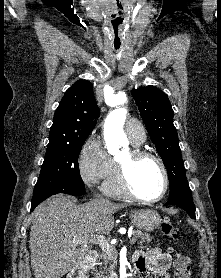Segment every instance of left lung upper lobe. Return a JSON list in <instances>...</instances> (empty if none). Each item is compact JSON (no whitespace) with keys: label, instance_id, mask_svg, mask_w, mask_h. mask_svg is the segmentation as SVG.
I'll return each instance as SVG.
<instances>
[{"label":"left lung upper lobe","instance_id":"obj_1","mask_svg":"<svg viewBox=\"0 0 221 278\" xmlns=\"http://www.w3.org/2000/svg\"><path fill=\"white\" fill-rule=\"evenodd\" d=\"M131 93L150 138L167 168L170 179L169 200L182 193H192L187 182L178 134L173 124V110L167 95L154 86L132 90Z\"/></svg>","mask_w":221,"mask_h":278}]
</instances>
